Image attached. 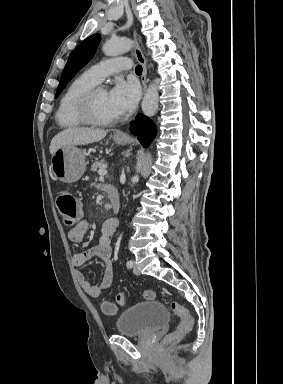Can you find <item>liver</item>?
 Masks as SVG:
<instances>
[{
    "label": "liver",
    "instance_id": "1",
    "mask_svg": "<svg viewBox=\"0 0 283 384\" xmlns=\"http://www.w3.org/2000/svg\"><path fill=\"white\" fill-rule=\"evenodd\" d=\"M106 130H93V128H76V126H69L67 130L59 132L54 136L50 144V154H54L58 148H65V146H85V144H93V142H100L105 138Z\"/></svg>",
    "mask_w": 283,
    "mask_h": 384
}]
</instances>
